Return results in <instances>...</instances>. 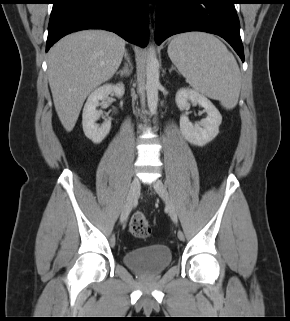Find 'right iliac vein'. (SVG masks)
Masks as SVG:
<instances>
[{"mask_svg":"<svg viewBox=\"0 0 290 321\" xmlns=\"http://www.w3.org/2000/svg\"><path fill=\"white\" fill-rule=\"evenodd\" d=\"M139 189H140V181L137 177H134V179L131 182L126 201H125L124 206L121 211V216H120L121 223H124L127 220L128 216H129V214H130V212H131V210H132V208L138 198Z\"/></svg>","mask_w":290,"mask_h":321,"instance_id":"obj_1","label":"right iliac vein"}]
</instances>
